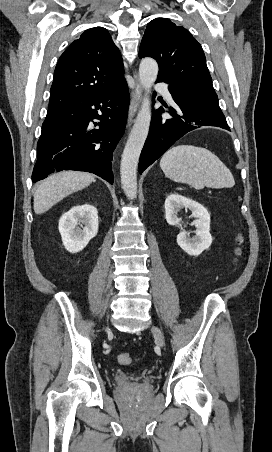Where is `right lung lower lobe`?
Segmentation results:
<instances>
[{"mask_svg":"<svg viewBox=\"0 0 272 452\" xmlns=\"http://www.w3.org/2000/svg\"><path fill=\"white\" fill-rule=\"evenodd\" d=\"M129 106L126 81L84 99L75 107L48 112L37 143L33 182L61 170L94 173L113 184L112 154L124 134ZM99 125L92 129L91 121Z\"/></svg>","mask_w":272,"mask_h":452,"instance_id":"right-lung-lower-lobe-1","label":"right lung lower lobe"}]
</instances>
